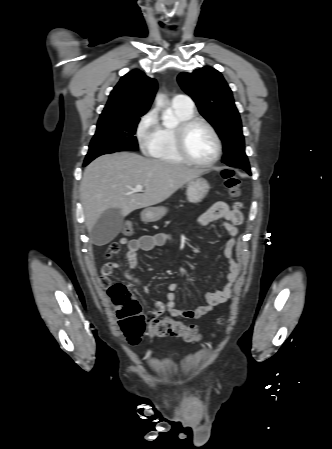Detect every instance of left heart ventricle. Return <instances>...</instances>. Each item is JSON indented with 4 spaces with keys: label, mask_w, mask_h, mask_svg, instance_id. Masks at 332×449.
Instances as JSON below:
<instances>
[{
    "label": "left heart ventricle",
    "mask_w": 332,
    "mask_h": 449,
    "mask_svg": "<svg viewBox=\"0 0 332 449\" xmlns=\"http://www.w3.org/2000/svg\"><path fill=\"white\" fill-rule=\"evenodd\" d=\"M186 147L190 156L201 162L211 160L216 151V145L212 134L201 124L194 125L188 130L186 135Z\"/></svg>",
    "instance_id": "1"
}]
</instances>
